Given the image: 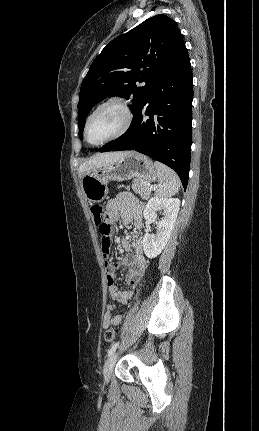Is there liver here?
I'll return each instance as SVG.
<instances>
[{
    "mask_svg": "<svg viewBox=\"0 0 259 431\" xmlns=\"http://www.w3.org/2000/svg\"><path fill=\"white\" fill-rule=\"evenodd\" d=\"M127 153L128 152L119 151L97 154L80 165L78 169L79 177L81 178L86 171L95 170L100 167L114 163Z\"/></svg>",
    "mask_w": 259,
    "mask_h": 431,
    "instance_id": "obj_1",
    "label": "liver"
}]
</instances>
